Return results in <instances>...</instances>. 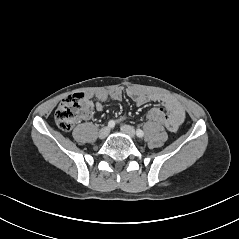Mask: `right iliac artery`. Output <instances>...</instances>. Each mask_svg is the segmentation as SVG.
I'll list each match as a JSON object with an SVG mask.
<instances>
[{
  "instance_id": "1",
  "label": "right iliac artery",
  "mask_w": 239,
  "mask_h": 239,
  "mask_svg": "<svg viewBox=\"0 0 239 239\" xmlns=\"http://www.w3.org/2000/svg\"><path fill=\"white\" fill-rule=\"evenodd\" d=\"M115 126V121L114 120H110L109 122H108V127L109 128H113Z\"/></svg>"
}]
</instances>
